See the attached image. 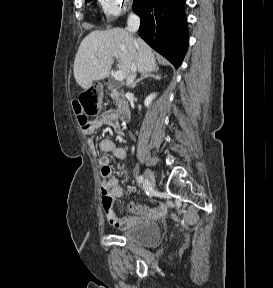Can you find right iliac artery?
Masks as SVG:
<instances>
[{"label": "right iliac artery", "mask_w": 273, "mask_h": 288, "mask_svg": "<svg viewBox=\"0 0 273 288\" xmlns=\"http://www.w3.org/2000/svg\"><path fill=\"white\" fill-rule=\"evenodd\" d=\"M137 182H138L139 184H142V183L144 182V177H143L142 175L138 176V177H137Z\"/></svg>", "instance_id": "right-iliac-artery-1"}]
</instances>
